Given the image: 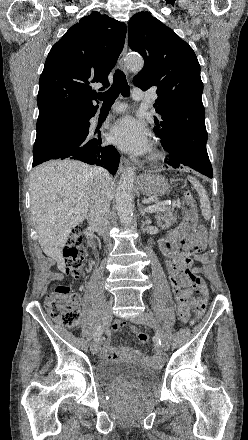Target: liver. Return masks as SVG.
Wrapping results in <instances>:
<instances>
[{
	"label": "liver",
	"instance_id": "obj_1",
	"mask_svg": "<svg viewBox=\"0 0 248 440\" xmlns=\"http://www.w3.org/2000/svg\"><path fill=\"white\" fill-rule=\"evenodd\" d=\"M93 168L79 161H49L30 177V210L38 242L60 271L65 270L63 249L69 234L88 216L98 187ZM109 192L112 199L113 181Z\"/></svg>",
	"mask_w": 248,
	"mask_h": 440
}]
</instances>
